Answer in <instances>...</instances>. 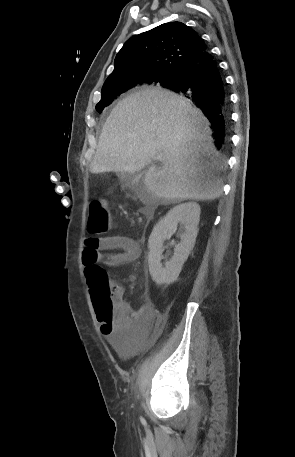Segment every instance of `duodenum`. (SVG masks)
Masks as SVG:
<instances>
[{
  "label": "duodenum",
  "mask_w": 295,
  "mask_h": 457,
  "mask_svg": "<svg viewBox=\"0 0 295 457\" xmlns=\"http://www.w3.org/2000/svg\"><path fill=\"white\" fill-rule=\"evenodd\" d=\"M143 214L146 218H151L153 216V211L150 207H147L143 210Z\"/></svg>",
  "instance_id": "1"
}]
</instances>
